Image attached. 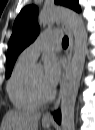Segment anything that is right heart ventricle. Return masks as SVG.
<instances>
[{
  "label": "right heart ventricle",
  "instance_id": "obj_1",
  "mask_svg": "<svg viewBox=\"0 0 95 130\" xmlns=\"http://www.w3.org/2000/svg\"><path fill=\"white\" fill-rule=\"evenodd\" d=\"M30 62L19 58L7 84V91L12 104L22 110L36 109L40 103L33 97L30 88Z\"/></svg>",
  "mask_w": 95,
  "mask_h": 130
}]
</instances>
